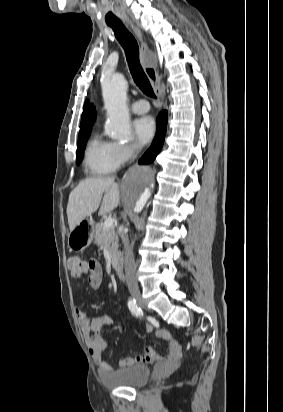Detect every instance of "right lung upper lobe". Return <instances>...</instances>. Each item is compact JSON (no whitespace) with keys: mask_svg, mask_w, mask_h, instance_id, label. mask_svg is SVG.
Listing matches in <instances>:
<instances>
[{"mask_svg":"<svg viewBox=\"0 0 283 412\" xmlns=\"http://www.w3.org/2000/svg\"><path fill=\"white\" fill-rule=\"evenodd\" d=\"M95 117V109L92 105L89 104V101L87 100L83 107L79 136L90 133L91 125L93 124Z\"/></svg>","mask_w":283,"mask_h":412,"instance_id":"1","label":"right lung upper lobe"}]
</instances>
